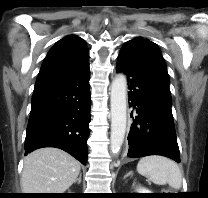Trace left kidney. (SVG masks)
<instances>
[{
  "label": "left kidney",
  "mask_w": 208,
  "mask_h": 198,
  "mask_svg": "<svg viewBox=\"0 0 208 198\" xmlns=\"http://www.w3.org/2000/svg\"><path fill=\"white\" fill-rule=\"evenodd\" d=\"M137 193H152V192L149 191L148 189L140 187V188L137 189Z\"/></svg>",
  "instance_id": "left-kidney-1"
}]
</instances>
